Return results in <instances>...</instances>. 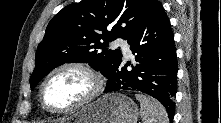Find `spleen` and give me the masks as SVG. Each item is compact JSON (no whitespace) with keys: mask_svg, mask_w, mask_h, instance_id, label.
<instances>
[{"mask_svg":"<svg viewBox=\"0 0 221 123\" xmlns=\"http://www.w3.org/2000/svg\"><path fill=\"white\" fill-rule=\"evenodd\" d=\"M135 97L140 102L143 123H169L167 112L160 102L141 94H136Z\"/></svg>","mask_w":221,"mask_h":123,"instance_id":"3e777b00","label":"spleen"}]
</instances>
